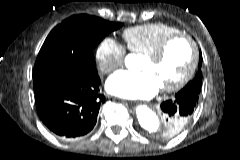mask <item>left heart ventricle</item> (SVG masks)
Wrapping results in <instances>:
<instances>
[{"instance_id":"left-heart-ventricle-1","label":"left heart ventricle","mask_w":240,"mask_h":160,"mask_svg":"<svg viewBox=\"0 0 240 160\" xmlns=\"http://www.w3.org/2000/svg\"><path fill=\"white\" fill-rule=\"evenodd\" d=\"M190 61V46L184 40H176L160 61L143 58L138 69L153 74L160 87H164L176 83L187 71Z\"/></svg>"}]
</instances>
